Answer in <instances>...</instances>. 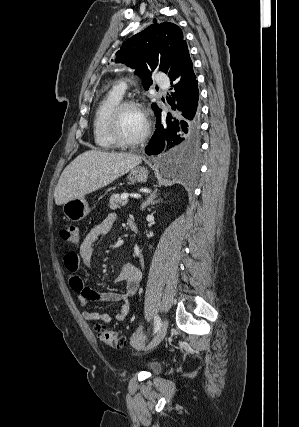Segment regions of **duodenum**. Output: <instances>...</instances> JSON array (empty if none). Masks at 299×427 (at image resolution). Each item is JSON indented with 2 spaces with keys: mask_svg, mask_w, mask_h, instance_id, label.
<instances>
[{
  "mask_svg": "<svg viewBox=\"0 0 299 427\" xmlns=\"http://www.w3.org/2000/svg\"><path fill=\"white\" fill-rule=\"evenodd\" d=\"M128 226L133 232H135V233L138 232V224L134 219L128 220Z\"/></svg>",
  "mask_w": 299,
  "mask_h": 427,
  "instance_id": "410a0bca",
  "label": "duodenum"
}]
</instances>
